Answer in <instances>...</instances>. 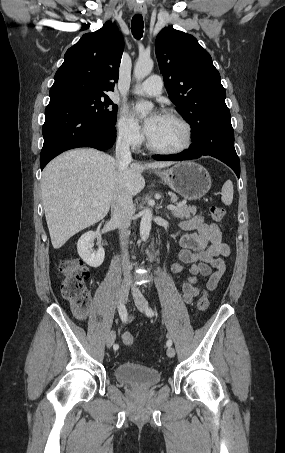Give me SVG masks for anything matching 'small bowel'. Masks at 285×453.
<instances>
[{"label":"small bowel","instance_id":"1","mask_svg":"<svg viewBox=\"0 0 285 453\" xmlns=\"http://www.w3.org/2000/svg\"><path fill=\"white\" fill-rule=\"evenodd\" d=\"M179 228L185 233L180 236L179 262L171 265V271L175 274L189 272L182 284V297L185 303L190 304L200 292L197 286L200 278L205 280L209 290L216 288L226 271L224 258L229 255L230 249L222 241L219 227L215 223H206L202 216L181 221ZM131 319L127 316L124 322Z\"/></svg>","mask_w":285,"mask_h":453}]
</instances>
